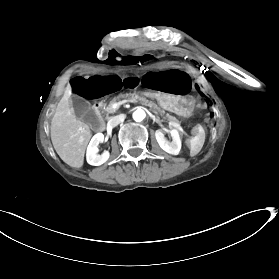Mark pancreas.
Masks as SVG:
<instances>
[{
	"label": "pancreas",
	"instance_id": "obj_1",
	"mask_svg": "<svg viewBox=\"0 0 279 279\" xmlns=\"http://www.w3.org/2000/svg\"><path fill=\"white\" fill-rule=\"evenodd\" d=\"M125 97H134V101L140 102L142 106H146L148 109H151V111L155 114L160 115V118L165 120H173L175 118V115L173 113H168L166 110H163L162 108H157L154 103H151L148 99L143 98L140 95L134 96L133 94H120L115 96L110 103L105 107V111L107 112H113L112 105L116 103L117 101L125 98Z\"/></svg>",
	"mask_w": 279,
	"mask_h": 279
}]
</instances>
